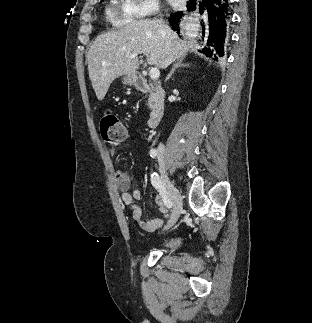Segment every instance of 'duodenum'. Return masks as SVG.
Listing matches in <instances>:
<instances>
[{
    "label": "duodenum",
    "mask_w": 312,
    "mask_h": 323,
    "mask_svg": "<svg viewBox=\"0 0 312 323\" xmlns=\"http://www.w3.org/2000/svg\"><path fill=\"white\" fill-rule=\"evenodd\" d=\"M131 82L139 90L152 94V111L148 119V127H156L163 118L167 108V92L165 88L157 80L149 79L139 72L132 75Z\"/></svg>",
    "instance_id": "1"
}]
</instances>
